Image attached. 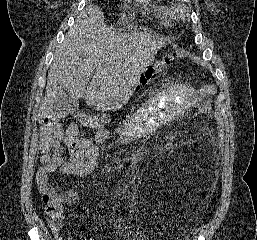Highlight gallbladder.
Masks as SVG:
<instances>
[{
  "instance_id": "1",
  "label": "gallbladder",
  "mask_w": 257,
  "mask_h": 240,
  "mask_svg": "<svg viewBox=\"0 0 257 240\" xmlns=\"http://www.w3.org/2000/svg\"><path fill=\"white\" fill-rule=\"evenodd\" d=\"M79 107V101L70 97L66 90L60 95L54 107L57 116H68L75 112Z\"/></svg>"
}]
</instances>
